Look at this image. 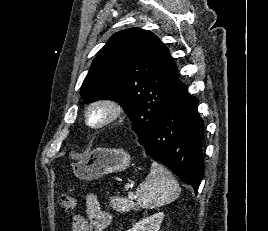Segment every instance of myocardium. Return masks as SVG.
<instances>
[{
  "mask_svg": "<svg viewBox=\"0 0 268 231\" xmlns=\"http://www.w3.org/2000/svg\"><path fill=\"white\" fill-rule=\"evenodd\" d=\"M97 109L102 110L104 116L99 121L92 122L90 115L92 111ZM122 114L123 108L117 100L108 97L97 98L88 104L85 111V121L89 127L100 129L119 120Z\"/></svg>",
  "mask_w": 268,
  "mask_h": 231,
  "instance_id": "f54148a6",
  "label": "myocardium"
}]
</instances>
